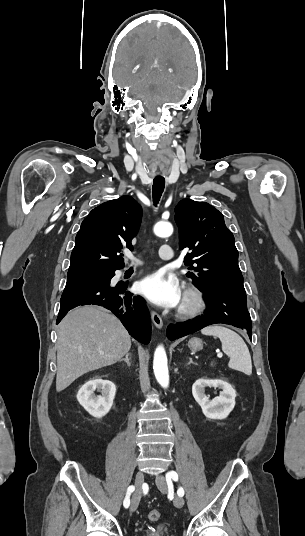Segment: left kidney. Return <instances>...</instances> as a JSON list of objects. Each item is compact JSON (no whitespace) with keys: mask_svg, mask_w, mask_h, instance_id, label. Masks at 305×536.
<instances>
[{"mask_svg":"<svg viewBox=\"0 0 305 536\" xmlns=\"http://www.w3.org/2000/svg\"><path fill=\"white\" fill-rule=\"evenodd\" d=\"M207 386L221 388L223 392L217 398L209 400L205 394ZM192 394L196 402L201 406L204 416L211 418V420H224L235 406L236 392L231 384H228L225 380H205V378H200L193 384Z\"/></svg>","mask_w":305,"mask_h":536,"instance_id":"1","label":"left kidney"}]
</instances>
